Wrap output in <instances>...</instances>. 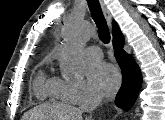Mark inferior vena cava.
I'll use <instances>...</instances> for the list:
<instances>
[{"label": "inferior vena cava", "mask_w": 165, "mask_h": 120, "mask_svg": "<svg viewBox=\"0 0 165 120\" xmlns=\"http://www.w3.org/2000/svg\"><path fill=\"white\" fill-rule=\"evenodd\" d=\"M100 103L101 98L99 96L89 94L87 99L82 104L81 109L86 112H92Z\"/></svg>", "instance_id": "obj_1"}]
</instances>
